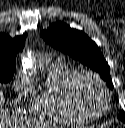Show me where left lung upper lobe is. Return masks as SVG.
<instances>
[{"instance_id":"1","label":"left lung upper lobe","mask_w":125,"mask_h":128,"mask_svg":"<svg viewBox=\"0 0 125 128\" xmlns=\"http://www.w3.org/2000/svg\"><path fill=\"white\" fill-rule=\"evenodd\" d=\"M41 36L54 48L99 72L110 88H113L108 63L100 48L84 32L72 29L65 23L56 22L47 30H43ZM118 118L125 123V112L121 111Z\"/></svg>"}]
</instances>
